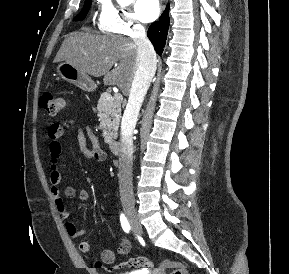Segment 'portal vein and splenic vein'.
<instances>
[{"label": "portal vein and splenic vein", "instance_id": "18ae733b", "mask_svg": "<svg viewBox=\"0 0 289 274\" xmlns=\"http://www.w3.org/2000/svg\"><path fill=\"white\" fill-rule=\"evenodd\" d=\"M114 97H115L117 100H120V101L123 100V96H122V94H120V93H115Z\"/></svg>", "mask_w": 289, "mask_h": 274}]
</instances>
